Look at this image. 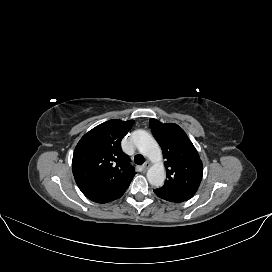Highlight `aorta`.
<instances>
[{
	"label": "aorta",
	"instance_id": "obj_1",
	"mask_svg": "<svg viewBox=\"0 0 272 272\" xmlns=\"http://www.w3.org/2000/svg\"><path fill=\"white\" fill-rule=\"evenodd\" d=\"M132 142L141 154L153 162L147 171L149 183L154 187L162 186L166 173L162 163V152L157 141L147 131L139 129L132 133Z\"/></svg>",
	"mask_w": 272,
	"mask_h": 272
}]
</instances>
